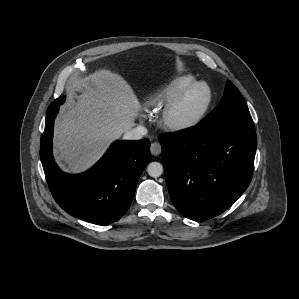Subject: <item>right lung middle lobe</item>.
Instances as JSON below:
<instances>
[{"mask_svg":"<svg viewBox=\"0 0 299 299\" xmlns=\"http://www.w3.org/2000/svg\"><path fill=\"white\" fill-rule=\"evenodd\" d=\"M65 101V96H60L59 98H57L53 103L51 104H58L61 105L63 102Z\"/></svg>","mask_w":299,"mask_h":299,"instance_id":"obj_1","label":"right lung middle lobe"}]
</instances>
